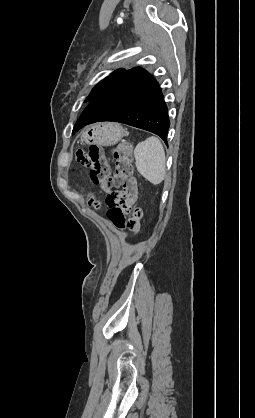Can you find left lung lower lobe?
Listing matches in <instances>:
<instances>
[{"mask_svg":"<svg viewBox=\"0 0 255 418\" xmlns=\"http://www.w3.org/2000/svg\"><path fill=\"white\" fill-rule=\"evenodd\" d=\"M167 106L158 82L144 69L126 70L93 98L75 124L114 121L160 136L167 143L170 126Z\"/></svg>","mask_w":255,"mask_h":418,"instance_id":"obj_1","label":"left lung lower lobe"}]
</instances>
